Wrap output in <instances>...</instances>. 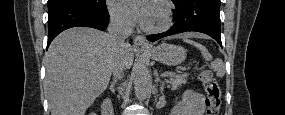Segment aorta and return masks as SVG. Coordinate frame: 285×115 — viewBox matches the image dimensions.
<instances>
[{"label":"aorta","instance_id":"obj_1","mask_svg":"<svg viewBox=\"0 0 285 115\" xmlns=\"http://www.w3.org/2000/svg\"><path fill=\"white\" fill-rule=\"evenodd\" d=\"M152 80L148 68L141 64L136 69L134 88L138 100L142 101L150 94Z\"/></svg>","mask_w":285,"mask_h":115}]
</instances>
